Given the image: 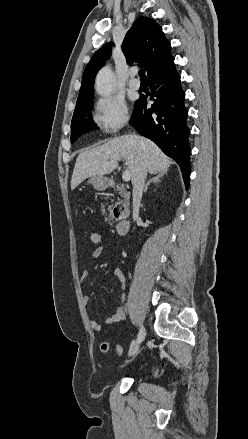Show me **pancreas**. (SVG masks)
I'll return each mask as SVG.
<instances>
[{
	"mask_svg": "<svg viewBox=\"0 0 248 439\" xmlns=\"http://www.w3.org/2000/svg\"><path fill=\"white\" fill-rule=\"evenodd\" d=\"M117 190L120 191V194L124 198L123 200H120V203L128 206L129 205L130 194L126 191V189L124 188L123 185L117 186Z\"/></svg>",
	"mask_w": 248,
	"mask_h": 439,
	"instance_id": "1",
	"label": "pancreas"
}]
</instances>
